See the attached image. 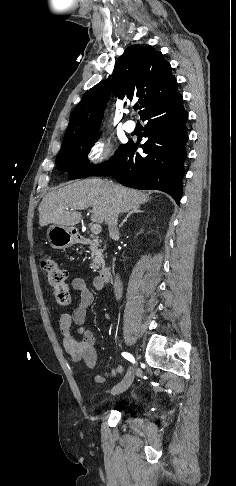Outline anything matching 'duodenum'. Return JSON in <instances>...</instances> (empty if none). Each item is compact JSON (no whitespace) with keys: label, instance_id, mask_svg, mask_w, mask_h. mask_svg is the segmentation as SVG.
<instances>
[{"label":"duodenum","instance_id":"obj_1","mask_svg":"<svg viewBox=\"0 0 236 486\" xmlns=\"http://www.w3.org/2000/svg\"><path fill=\"white\" fill-rule=\"evenodd\" d=\"M80 242L82 244H96V242L91 239V238H88V237H84V236H81L79 238ZM110 276H111V270L108 266H102L99 270V273H98V276H97V282L100 284V285H105L109 279H110Z\"/></svg>","mask_w":236,"mask_h":486}]
</instances>
